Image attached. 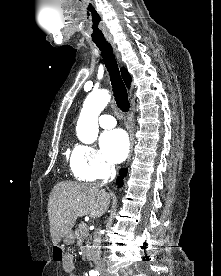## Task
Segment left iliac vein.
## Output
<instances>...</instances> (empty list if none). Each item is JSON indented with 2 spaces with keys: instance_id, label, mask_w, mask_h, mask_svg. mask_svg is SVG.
I'll return each mask as SVG.
<instances>
[{
  "instance_id": "obj_1",
  "label": "left iliac vein",
  "mask_w": 221,
  "mask_h": 276,
  "mask_svg": "<svg viewBox=\"0 0 221 276\" xmlns=\"http://www.w3.org/2000/svg\"><path fill=\"white\" fill-rule=\"evenodd\" d=\"M102 276H110V275L108 273H106V272H103Z\"/></svg>"
}]
</instances>
